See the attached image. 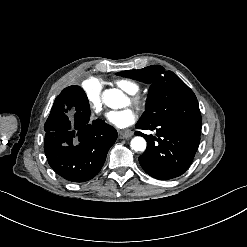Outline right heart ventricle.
<instances>
[{
    "label": "right heart ventricle",
    "instance_id": "e07e8e85",
    "mask_svg": "<svg viewBox=\"0 0 247 247\" xmlns=\"http://www.w3.org/2000/svg\"><path fill=\"white\" fill-rule=\"evenodd\" d=\"M121 86L130 92L134 90L127 82H121Z\"/></svg>",
    "mask_w": 247,
    "mask_h": 247
}]
</instances>
